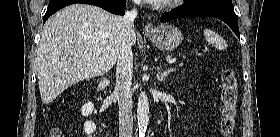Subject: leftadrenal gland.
<instances>
[{"mask_svg": "<svg viewBox=\"0 0 280 137\" xmlns=\"http://www.w3.org/2000/svg\"><path fill=\"white\" fill-rule=\"evenodd\" d=\"M156 71H157V78H158V80L162 82V81H165V80L167 79L168 75H169L171 72L174 71V68H168V69H166V70H164V71H161V70L157 67Z\"/></svg>", "mask_w": 280, "mask_h": 137, "instance_id": "left-adrenal-gland-1", "label": "left adrenal gland"}]
</instances>
